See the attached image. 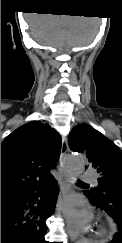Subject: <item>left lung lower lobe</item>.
<instances>
[{
  "label": "left lung lower lobe",
  "instance_id": "obj_1",
  "mask_svg": "<svg viewBox=\"0 0 122 243\" xmlns=\"http://www.w3.org/2000/svg\"><path fill=\"white\" fill-rule=\"evenodd\" d=\"M105 189L109 192V195L112 197V201L109 200V203L112 204V206L115 201H122V179H117L108 182L107 184H105ZM85 195L90 199L93 205L105 210L110 216L112 215L111 208L107 205L108 200L99 199L90 194L89 192H85ZM114 221L118 225V232L114 235V238L110 243H122V221Z\"/></svg>",
  "mask_w": 122,
  "mask_h": 243
}]
</instances>
